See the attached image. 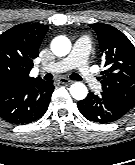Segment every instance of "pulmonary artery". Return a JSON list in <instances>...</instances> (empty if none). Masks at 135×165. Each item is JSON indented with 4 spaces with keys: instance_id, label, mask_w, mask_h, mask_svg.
I'll list each match as a JSON object with an SVG mask.
<instances>
[{
    "instance_id": "1",
    "label": "pulmonary artery",
    "mask_w": 135,
    "mask_h": 165,
    "mask_svg": "<svg viewBox=\"0 0 135 165\" xmlns=\"http://www.w3.org/2000/svg\"><path fill=\"white\" fill-rule=\"evenodd\" d=\"M89 50L90 40L87 36H82L76 40L71 53L67 57L56 61L43 70L60 73L70 69H77L84 82H86L90 88L98 90L100 89V83L96 79L88 62Z\"/></svg>"
}]
</instances>
